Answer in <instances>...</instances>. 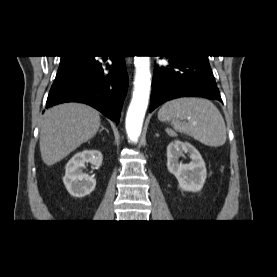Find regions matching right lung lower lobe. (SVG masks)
<instances>
[{
    "label": "right lung lower lobe",
    "instance_id": "right-lung-lower-lobe-1",
    "mask_svg": "<svg viewBox=\"0 0 277 277\" xmlns=\"http://www.w3.org/2000/svg\"><path fill=\"white\" fill-rule=\"evenodd\" d=\"M89 56L85 62L57 77L47 98V108L64 102L86 103L119 123L128 87L124 56H110L112 64ZM109 73H104V70Z\"/></svg>",
    "mask_w": 277,
    "mask_h": 277
}]
</instances>
